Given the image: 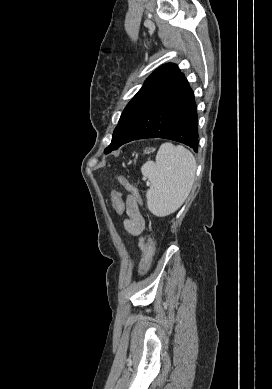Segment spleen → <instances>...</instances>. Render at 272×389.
<instances>
[{
    "instance_id": "obj_1",
    "label": "spleen",
    "mask_w": 272,
    "mask_h": 389,
    "mask_svg": "<svg viewBox=\"0 0 272 389\" xmlns=\"http://www.w3.org/2000/svg\"><path fill=\"white\" fill-rule=\"evenodd\" d=\"M196 171L193 154L183 146L163 143L156 162L141 167L151 183L146 193L148 209L158 217L174 213L184 203L192 188Z\"/></svg>"
}]
</instances>
